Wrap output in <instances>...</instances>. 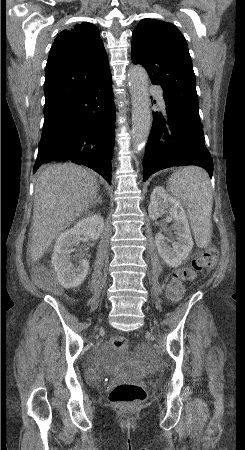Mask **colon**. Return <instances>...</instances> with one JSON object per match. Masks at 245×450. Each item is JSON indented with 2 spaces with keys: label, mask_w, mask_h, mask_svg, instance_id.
<instances>
[{
  "label": "colon",
  "mask_w": 245,
  "mask_h": 450,
  "mask_svg": "<svg viewBox=\"0 0 245 450\" xmlns=\"http://www.w3.org/2000/svg\"><path fill=\"white\" fill-rule=\"evenodd\" d=\"M217 260V251L214 248H206L196 255L189 266L179 267L173 271L167 284V297L173 303L182 301L185 295V280L195 271H203L214 266ZM40 285L48 290L58 292L59 288L54 286L52 279L41 276ZM112 346L120 351L129 349L126 338L116 336L111 339ZM147 398L146 389L138 384L122 383L115 385L109 393V401L115 405L131 406L143 402Z\"/></svg>",
  "instance_id": "1"
}]
</instances>
